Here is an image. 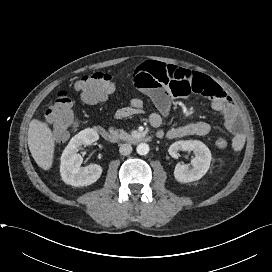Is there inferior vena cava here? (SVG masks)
Returning a JSON list of instances; mask_svg holds the SVG:
<instances>
[{"instance_id": "1", "label": "inferior vena cava", "mask_w": 272, "mask_h": 272, "mask_svg": "<svg viewBox=\"0 0 272 272\" xmlns=\"http://www.w3.org/2000/svg\"><path fill=\"white\" fill-rule=\"evenodd\" d=\"M119 152L121 155L127 156L132 152V147L130 144H123L120 146Z\"/></svg>"}]
</instances>
